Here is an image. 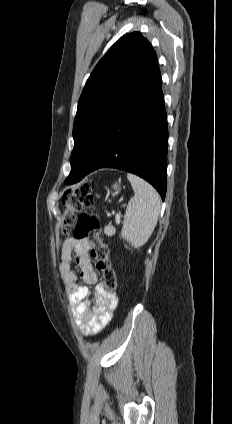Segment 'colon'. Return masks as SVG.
<instances>
[{
  "label": "colon",
  "mask_w": 232,
  "mask_h": 424,
  "mask_svg": "<svg viewBox=\"0 0 232 424\" xmlns=\"http://www.w3.org/2000/svg\"><path fill=\"white\" fill-rule=\"evenodd\" d=\"M92 191L93 183L89 180L76 188L65 190L60 233L67 235L73 230L76 239L88 243L90 254L96 260L97 269L102 273L104 289L113 292L117 287V275L108 248L100 237V219L95 213L85 212L93 204Z\"/></svg>",
  "instance_id": "obj_1"
}]
</instances>
